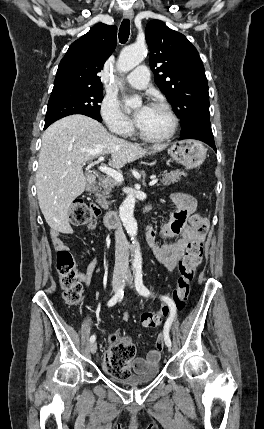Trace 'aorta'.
Here are the masks:
<instances>
[{
    "mask_svg": "<svg viewBox=\"0 0 264 429\" xmlns=\"http://www.w3.org/2000/svg\"><path fill=\"white\" fill-rule=\"evenodd\" d=\"M147 54V47L144 43H136L130 46L125 47L119 56L118 59V69L120 72L127 73L131 71L134 67L139 65ZM125 103L130 108H137L141 106L142 101L138 97L126 99ZM134 207H135V195L130 193L127 195L122 205L119 208V215L123 222V225L131 237L133 244L135 245V255L132 262L133 268H141L142 266V256L140 252V246L136 241L137 235V221L134 218Z\"/></svg>",
    "mask_w": 264,
    "mask_h": 429,
    "instance_id": "762f6f07",
    "label": "aorta"
}]
</instances>
